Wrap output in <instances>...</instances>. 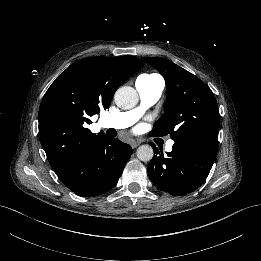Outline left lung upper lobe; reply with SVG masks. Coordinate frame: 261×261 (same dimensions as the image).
<instances>
[{
    "mask_svg": "<svg viewBox=\"0 0 261 261\" xmlns=\"http://www.w3.org/2000/svg\"><path fill=\"white\" fill-rule=\"evenodd\" d=\"M165 78V115L156 121L152 136L170 134L174 141L199 136L218 142L220 116L210 88L199 78L162 57L143 58Z\"/></svg>",
    "mask_w": 261,
    "mask_h": 261,
    "instance_id": "1",
    "label": "left lung upper lobe"
}]
</instances>
